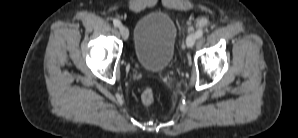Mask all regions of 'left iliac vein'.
<instances>
[{
  "instance_id": "1",
  "label": "left iliac vein",
  "mask_w": 298,
  "mask_h": 138,
  "mask_svg": "<svg viewBox=\"0 0 298 138\" xmlns=\"http://www.w3.org/2000/svg\"><path fill=\"white\" fill-rule=\"evenodd\" d=\"M196 40H197L196 33H192V34L188 35V37L186 39L187 47H192L195 44Z\"/></svg>"
}]
</instances>
